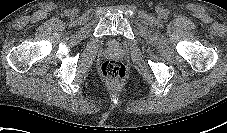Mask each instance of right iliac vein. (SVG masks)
<instances>
[{"instance_id":"1","label":"right iliac vein","mask_w":227,"mask_h":133,"mask_svg":"<svg viewBox=\"0 0 227 133\" xmlns=\"http://www.w3.org/2000/svg\"><path fill=\"white\" fill-rule=\"evenodd\" d=\"M69 15L73 16L74 15V11H70Z\"/></svg>"}]
</instances>
